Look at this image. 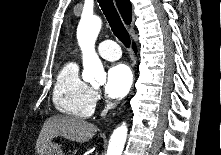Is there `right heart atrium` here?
<instances>
[{
  "instance_id": "obj_1",
  "label": "right heart atrium",
  "mask_w": 221,
  "mask_h": 155,
  "mask_svg": "<svg viewBox=\"0 0 221 155\" xmlns=\"http://www.w3.org/2000/svg\"><path fill=\"white\" fill-rule=\"evenodd\" d=\"M94 98L97 99L98 98V95L96 93H94Z\"/></svg>"
}]
</instances>
